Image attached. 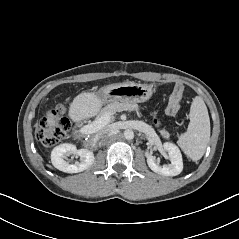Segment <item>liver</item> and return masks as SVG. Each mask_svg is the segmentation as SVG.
<instances>
[{"mask_svg": "<svg viewBox=\"0 0 239 239\" xmlns=\"http://www.w3.org/2000/svg\"><path fill=\"white\" fill-rule=\"evenodd\" d=\"M105 102L99 97L96 92H82L77 95L69 106V117L74 122H79L96 116ZM49 126H57L58 122L54 116H47Z\"/></svg>", "mask_w": 239, "mask_h": 239, "instance_id": "obj_1", "label": "liver"}]
</instances>
